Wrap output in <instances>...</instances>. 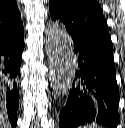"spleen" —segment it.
<instances>
[{
  "mask_svg": "<svg viewBox=\"0 0 125 128\" xmlns=\"http://www.w3.org/2000/svg\"><path fill=\"white\" fill-rule=\"evenodd\" d=\"M86 128H96V126H87Z\"/></svg>",
  "mask_w": 125,
  "mask_h": 128,
  "instance_id": "spleen-1",
  "label": "spleen"
}]
</instances>
